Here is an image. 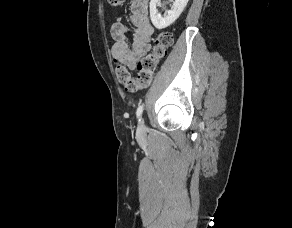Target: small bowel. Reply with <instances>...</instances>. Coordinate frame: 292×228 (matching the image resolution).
Segmentation results:
<instances>
[{"mask_svg":"<svg viewBox=\"0 0 292 228\" xmlns=\"http://www.w3.org/2000/svg\"><path fill=\"white\" fill-rule=\"evenodd\" d=\"M149 0H131L129 6V24L118 17L111 26L114 44L111 48L113 59L127 70L136 67L137 60L145 55L151 47L154 28L149 21ZM132 34V42L128 35Z\"/></svg>","mask_w":292,"mask_h":228,"instance_id":"1","label":"small bowel"}]
</instances>
